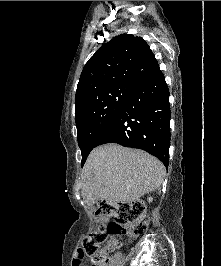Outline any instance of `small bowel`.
I'll use <instances>...</instances> for the list:
<instances>
[{
	"mask_svg": "<svg viewBox=\"0 0 221 266\" xmlns=\"http://www.w3.org/2000/svg\"><path fill=\"white\" fill-rule=\"evenodd\" d=\"M101 221H106L107 219L105 217L100 219ZM76 250L78 252H73L72 256L74 257L72 266H83V261H84V252H79V251H85V246H77Z\"/></svg>",
	"mask_w": 221,
	"mask_h": 266,
	"instance_id": "obj_1",
	"label": "small bowel"
}]
</instances>
